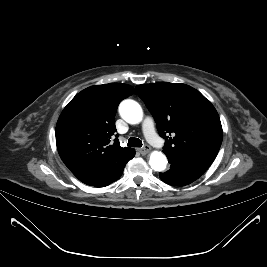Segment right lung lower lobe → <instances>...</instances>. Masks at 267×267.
<instances>
[{
    "label": "right lung lower lobe",
    "instance_id": "obj_1",
    "mask_svg": "<svg viewBox=\"0 0 267 267\" xmlns=\"http://www.w3.org/2000/svg\"><path fill=\"white\" fill-rule=\"evenodd\" d=\"M126 163H124L119 169H117L114 172H112L109 176L105 177L104 179L100 180L99 182H97L96 184H94L92 186L104 187V186H107V185L111 184L112 182L118 180L120 178V176L122 175V173H123V170H124V167H125Z\"/></svg>",
    "mask_w": 267,
    "mask_h": 267
}]
</instances>
